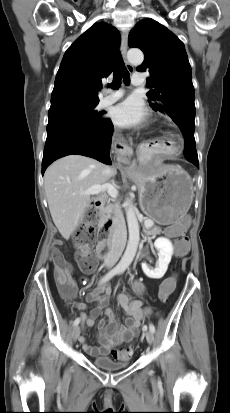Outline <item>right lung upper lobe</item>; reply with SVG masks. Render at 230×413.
<instances>
[{
	"label": "right lung upper lobe",
	"mask_w": 230,
	"mask_h": 413,
	"mask_svg": "<svg viewBox=\"0 0 230 413\" xmlns=\"http://www.w3.org/2000/svg\"><path fill=\"white\" fill-rule=\"evenodd\" d=\"M120 44L119 31L107 23H95L65 52L51 95V107L98 104L101 78L114 68Z\"/></svg>",
	"instance_id": "right-lung-upper-lobe-1"
}]
</instances>
